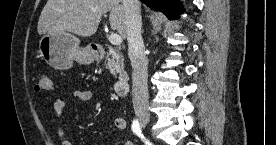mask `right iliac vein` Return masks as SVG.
<instances>
[{
    "label": "right iliac vein",
    "mask_w": 276,
    "mask_h": 145,
    "mask_svg": "<svg viewBox=\"0 0 276 145\" xmlns=\"http://www.w3.org/2000/svg\"><path fill=\"white\" fill-rule=\"evenodd\" d=\"M138 119H139L140 123L143 125H147L150 120V118L146 115H140V116H138Z\"/></svg>",
    "instance_id": "obj_1"
}]
</instances>
